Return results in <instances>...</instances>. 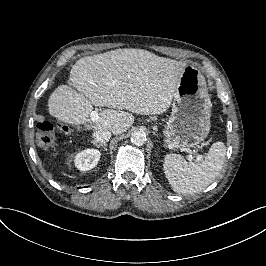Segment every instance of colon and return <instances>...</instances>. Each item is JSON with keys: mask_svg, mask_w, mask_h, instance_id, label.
<instances>
[{"mask_svg": "<svg viewBox=\"0 0 266 266\" xmlns=\"http://www.w3.org/2000/svg\"><path fill=\"white\" fill-rule=\"evenodd\" d=\"M37 138L44 147H50L55 141V129L48 120L40 121L36 125Z\"/></svg>", "mask_w": 266, "mask_h": 266, "instance_id": "colon-1", "label": "colon"}]
</instances>
